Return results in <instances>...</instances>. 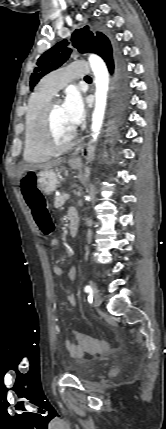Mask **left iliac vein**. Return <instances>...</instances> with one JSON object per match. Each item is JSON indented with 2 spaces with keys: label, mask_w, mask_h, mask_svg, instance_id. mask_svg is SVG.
<instances>
[{
  "label": "left iliac vein",
  "mask_w": 166,
  "mask_h": 429,
  "mask_svg": "<svg viewBox=\"0 0 166 429\" xmlns=\"http://www.w3.org/2000/svg\"><path fill=\"white\" fill-rule=\"evenodd\" d=\"M94 288V295H93V303L95 306H99L102 302L101 295L97 292L96 288Z\"/></svg>",
  "instance_id": "1"
}]
</instances>
